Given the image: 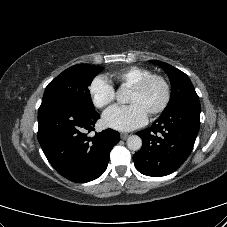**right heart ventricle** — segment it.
<instances>
[{"label":"right heart ventricle","mask_w":227,"mask_h":227,"mask_svg":"<svg viewBox=\"0 0 227 227\" xmlns=\"http://www.w3.org/2000/svg\"><path fill=\"white\" fill-rule=\"evenodd\" d=\"M150 74H152V72L148 68L140 66H129L112 73L111 77L120 86H133L138 81L147 77Z\"/></svg>","instance_id":"e07e8e85"}]
</instances>
